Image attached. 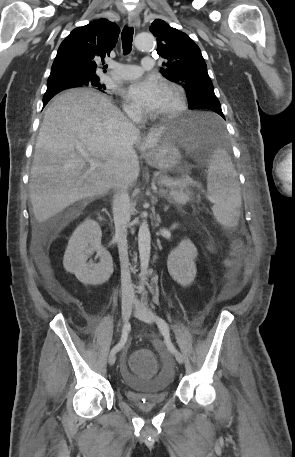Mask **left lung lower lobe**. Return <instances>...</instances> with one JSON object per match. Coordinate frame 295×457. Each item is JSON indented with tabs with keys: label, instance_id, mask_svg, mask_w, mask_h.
<instances>
[{
	"label": "left lung lower lobe",
	"instance_id": "0a47b994",
	"mask_svg": "<svg viewBox=\"0 0 295 457\" xmlns=\"http://www.w3.org/2000/svg\"><path fill=\"white\" fill-rule=\"evenodd\" d=\"M197 108H204V109H209V110H212L216 113H218L220 116H222L224 118V115L222 113V110H221V105H220V102H212V101H209V100H205V101H201L200 103H198L195 107V109ZM207 129L209 131V133H215V127L212 123H208L207 124Z\"/></svg>",
	"mask_w": 295,
	"mask_h": 457
}]
</instances>
